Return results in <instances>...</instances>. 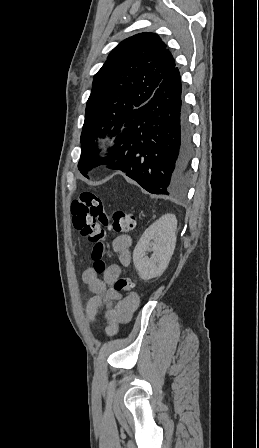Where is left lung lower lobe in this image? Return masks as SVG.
Segmentation results:
<instances>
[{"label":"left lung lower lobe","mask_w":259,"mask_h":448,"mask_svg":"<svg viewBox=\"0 0 259 448\" xmlns=\"http://www.w3.org/2000/svg\"><path fill=\"white\" fill-rule=\"evenodd\" d=\"M115 142L108 156L98 157L91 168L106 164L121 170L153 194L170 195L185 186L192 132L176 66L149 101L131 111Z\"/></svg>","instance_id":"obj_1"}]
</instances>
